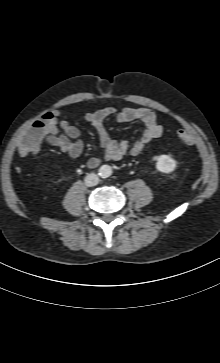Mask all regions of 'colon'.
Instances as JSON below:
<instances>
[{
    "label": "colon",
    "mask_w": 220,
    "mask_h": 363,
    "mask_svg": "<svg viewBox=\"0 0 220 363\" xmlns=\"http://www.w3.org/2000/svg\"><path fill=\"white\" fill-rule=\"evenodd\" d=\"M51 118V114H45L41 120L34 123V125L28 130L27 133V140L29 143L39 144L40 142H42ZM177 138L179 139V141L186 144H190L193 142L192 136L184 130H180L177 132Z\"/></svg>",
    "instance_id": "colon-1"
}]
</instances>
